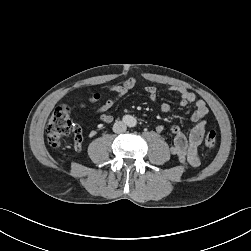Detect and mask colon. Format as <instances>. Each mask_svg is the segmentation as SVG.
<instances>
[{"label":"colon","instance_id":"obj_1","mask_svg":"<svg viewBox=\"0 0 251 251\" xmlns=\"http://www.w3.org/2000/svg\"><path fill=\"white\" fill-rule=\"evenodd\" d=\"M100 100V95L96 94L92 98V102L97 103ZM47 138L51 147L59 148L62 140L68 134L73 133L75 145L82 142L81 129L72 122L70 110L66 105H59L55 108L50 116L47 125ZM205 145L209 149H214L217 145V134L215 131H209L205 136Z\"/></svg>","mask_w":251,"mask_h":251}]
</instances>
